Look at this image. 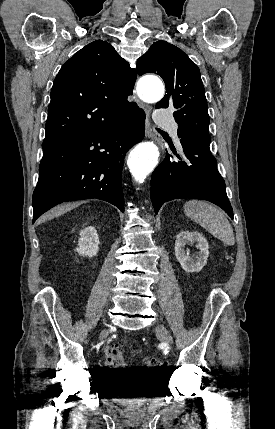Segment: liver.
<instances>
[{
  "instance_id": "obj_1",
  "label": "liver",
  "mask_w": 275,
  "mask_h": 429,
  "mask_svg": "<svg viewBox=\"0 0 275 429\" xmlns=\"http://www.w3.org/2000/svg\"><path fill=\"white\" fill-rule=\"evenodd\" d=\"M65 209H66L65 207H57V208L51 210L50 212H48L47 214H45L44 216L41 217V219L39 220V223L44 222L47 219L58 215L59 213L63 212Z\"/></svg>"
}]
</instances>
